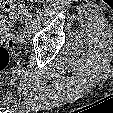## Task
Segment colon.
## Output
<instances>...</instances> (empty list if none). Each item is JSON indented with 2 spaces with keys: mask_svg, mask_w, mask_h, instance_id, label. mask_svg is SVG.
Instances as JSON below:
<instances>
[{
  "mask_svg": "<svg viewBox=\"0 0 113 113\" xmlns=\"http://www.w3.org/2000/svg\"><path fill=\"white\" fill-rule=\"evenodd\" d=\"M0 10L15 22L22 21L28 11L23 0H0ZM13 45L14 38L11 35L7 37L5 44L0 45V74L10 64Z\"/></svg>",
  "mask_w": 113,
  "mask_h": 113,
  "instance_id": "1",
  "label": "colon"
}]
</instances>
